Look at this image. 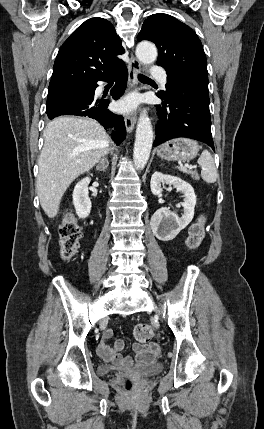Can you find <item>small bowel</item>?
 I'll return each instance as SVG.
<instances>
[{"instance_id":"c3829d8e","label":"small bowel","mask_w":264,"mask_h":429,"mask_svg":"<svg viewBox=\"0 0 264 429\" xmlns=\"http://www.w3.org/2000/svg\"><path fill=\"white\" fill-rule=\"evenodd\" d=\"M112 337V330L105 331L101 342L98 346L99 355L110 362H113L119 367H130L132 360L130 357H123L121 351L124 348V342L117 340L113 346L107 344V341ZM133 351L135 352V360L139 364L148 363L160 352V346L157 343L134 344Z\"/></svg>"}]
</instances>
